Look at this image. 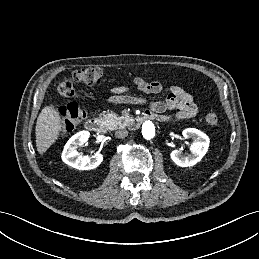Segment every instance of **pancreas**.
<instances>
[{
    "mask_svg": "<svg viewBox=\"0 0 259 259\" xmlns=\"http://www.w3.org/2000/svg\"><path fill=\"white\" fill-rule=\"evenodd\" d=\"M102 120L104 121L106 127L110 130H115L118 128L126 127L131 121L129 116H118L113 112L103 113Z\"/></svg>",
    "mask_w": 259,
    "mask_h": 259,
    "instance_id": "cf45deb5",
    "label": "pancreas"
}]
</instances>
